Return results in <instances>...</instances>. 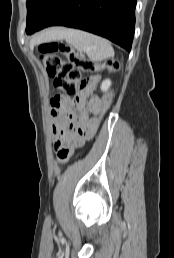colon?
<instances>
[{
    "label": "colon",
    "mask_w": 174,
    "mask_h": 258,
    "mask_svg": "<svg viewBox=\"0 0 174 258\" xmlns=\"http://www.w3.org/2000/svg\"><path fill=\"white\" fill-rule=\"evenodd\" d=\"M39 52L48 76L53 79L54 88L70 97L76 96L83 72H98L106 69L110 73H115L119 68L116 60L110 59L97 63L80 56L71 45L64 43L42 44L39 46ZM112 98L113 90L111 89L101 101L100 118L105 116L110 109Z\"/></svg>",
    "instance_id": "obj_1"
}]
</instances>
